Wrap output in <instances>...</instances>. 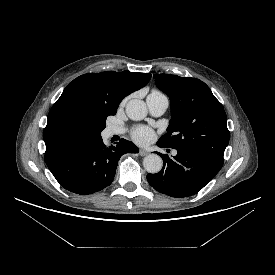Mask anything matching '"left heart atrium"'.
<instances>
[{"instance_id": "obj_1", "label": "left heart atrium", "mask_w": 275, "mask_h": 275, "mask_svg": "<svg viewBox=\"0 0 275 275\" xmlns=\"http://www.w3.org/2000/svg\"><path fill=\"white\" fill-rule=\"evenodd\" d=\"M153 130L146 126L137 127L132 134L133 139L139 144H147L153 139Z\"/></svg>"}]
</instances>
